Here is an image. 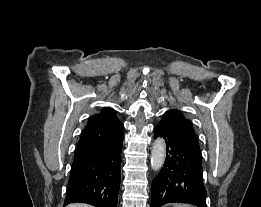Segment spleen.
Instances as JSON below:
<instances>
[{"label":"spleen","instance_id":"obj_1","mask_svg":"<svg viewBox=\"0 0 261 207\" xmlns=\"http://www.w3.org/2000/svg\"><path fill=\"white\" fill-rule=\"evenodd\" d=\"M175 207H191V206H187V205H176Z\"/></svg>","mask_w":261,"mask_h":207}]
</instances>
